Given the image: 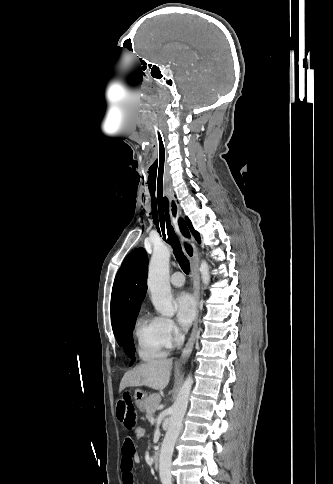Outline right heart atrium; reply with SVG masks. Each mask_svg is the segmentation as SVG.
Masks as SVG:
<instances>
[{"mask_svg":"<svg viewBox=\"0 0 333 484\" xmlns=\"http://www.w3.org/2000/svg\"><path fill=\"white\" fill-rule=\"evenodd\" d=\"M162 337L167 348L173 347L179 337L178 329L174 321L167 317H160Z\"/></svg>","mask_w":333,"mask_h":484,"instance_id":"d8ad5b80","label":"right heart atrium"}]
</instances>
